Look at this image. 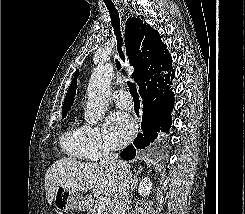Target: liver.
<instances>
[{
  "label": "liver",
  "mask_w": 245,
  "mask_h": 214,
  "mask_svg": "<svg viewBox=\"0 0 245 214\" xmlns=\"http://www.w3.org/2000/svg\"><path fill=\"white\" fill-rule=\"evenodd\" d=\"M116 174L96 163H83L61 158L54 162L45 175V190L48 203H53L58 187L86 192L93 189L96 195L112 196Z\"/></svg>",
  "instance_id": "1"
}]
</instances>
